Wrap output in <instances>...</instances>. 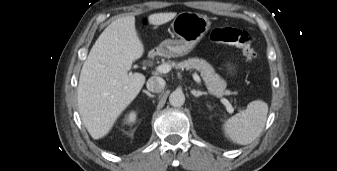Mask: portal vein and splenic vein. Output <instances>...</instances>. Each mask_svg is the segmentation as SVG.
Returning <instances> with one entry per match:
<instances>
[{"instance_id": "obj_1", "label": "portal vein and splenic vein", "mask_w": 337, "mask_h": 171, "mask_svg": "<svg viewBox=\"0 0 337 171\" xmlns=\"http://www.w3.org/2000/svg\"><path fill=\"white\" fill-rule=\"evenodd\" d=\"M171 65L168 64V63H164V64H161L159 66L156 67V71L160 72V73H168L170 70H171ZM193 79L197 82V83H201V78L199 77L198 74L194 73L193 74ZM221 102L226 106V109L229 113H233L234 112V109L232 107V105L230 104V102L225 99V98H222L221 99ZM241 111V110H240Z\"/></svg>"}]
</instances>
